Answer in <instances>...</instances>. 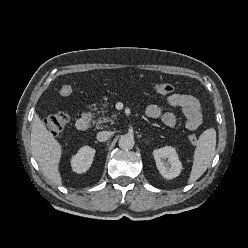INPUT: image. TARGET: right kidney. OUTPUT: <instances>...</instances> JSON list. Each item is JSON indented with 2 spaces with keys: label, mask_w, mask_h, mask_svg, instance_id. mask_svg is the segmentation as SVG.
<instances>
[{
  "label": "right kidney",
  "mask_w": 248,
  "mask_h": 248,
  "mask_svg": "<svg viewBox=\"0 0 248 248\" xmlns=\"http://www.w3.org/2000/svg\"><path fill=\"white\" fill-rule=\"evenodd\" d=\"M95 149L84 146L71 159V167L74 172L81 174L86 172L92 165Z\"/></svg>",
  "instance_id": "right-kidney-1"
}]
</instances>
